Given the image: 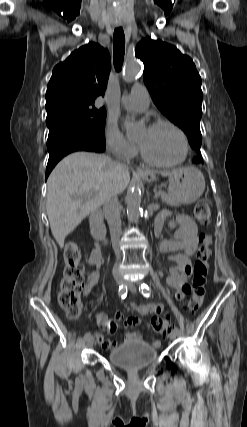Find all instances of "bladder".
Wrapping results in <instances>:
<instances>
[{"mask_svg":"<svg viewBox=\"0 0 247 427\" xmlns=\"http://www.w3.org/2000/svg\"><path fill=\"white\" fill-rule=\"evenodd\" d=\"M158 350L144 341H127L110 350L109 361L123 369L135 370L150 365Z\"/></svg>","mask_w":247,"mask_h":427,"instance_id":"bladder-1","label":"bladder"}]
</instances>
